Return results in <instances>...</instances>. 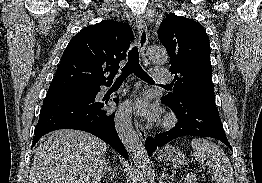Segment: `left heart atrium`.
<instances>
[{
	"label": "left heart atrium",
	"mask_w": 262,
	"mask_h": 183,
	"mask_svg": "<svg viewBox=\"0 0 262 183\" xmlns=\"http://www.w3.org/2000/svg\"><path fill=\"white\" fill-rule=\"evenodd\" d=\"M135 111L147 120H154L158 115V108L150 105L145 98H140L136 101Z\"/></svg>",
	"instance_id": "obj_1"
}]
</instances>
